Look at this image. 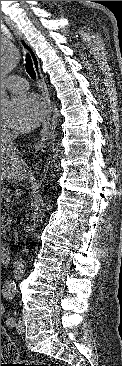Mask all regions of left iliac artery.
Returning a JSON list of instances; mask_svg holds the SVG:
<instances>
[{
  "label": "left iliac artery",
  "mask_w": 122,
  "mask_h": 366,
  "mask_svg": "<svg viewBox=\"0 0 122 366\" xmlns=\"http://www.w3.org/2000/svg\"><path fill=\"white\" fill-rule=\"evenodd\" d=\"M10 299V297H9ZM6 324L10 327H14L15 324H16V321H15V318L13 317H9L7 320H6Z\"/></svg>",
  "instance_id": "44dca946"
}]
</instances>
